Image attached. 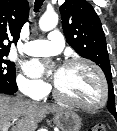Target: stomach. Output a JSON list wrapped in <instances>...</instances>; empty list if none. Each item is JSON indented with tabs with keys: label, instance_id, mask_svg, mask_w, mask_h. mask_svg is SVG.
Listing matches in <instances>:
<instances>
[{
	"label": "stomach",
	"instance_id": "0dacf381",
	"mask_svg": "<svg viewBox=\"0 0 117 131\" xmlns=\"http://www.w3.org/2000/svg\"><path fill=\"white\" fill-rule=\"evenodd\" d=\"M53 121L60 131H79L82 125L78 114L67 109L57 112Z\"/></svg>",
	"mask_w": 117,
	"mask_h": 131
}]
</instances>
